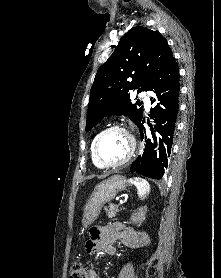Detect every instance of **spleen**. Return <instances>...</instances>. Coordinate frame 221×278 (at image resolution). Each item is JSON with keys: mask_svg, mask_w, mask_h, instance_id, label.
Wrapping results in <instances>:
<instances>
[{"mask_svg": "<svg viewBox=\"0 0 221 278\" xmlns=\"http://www.w3.org/2000/svg\"><path fill=\"white\" fill-rule=\"evenodd\" d=\"M129 182L136 186L138 196L141 199H144L150 192V184L145 179L135 177V178H130Z\"/></svg>", "mask_w": 221, "mask_h": 278, "instance_id": "obj_1", "label": "spleen"}]
</instances>
